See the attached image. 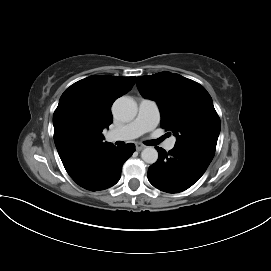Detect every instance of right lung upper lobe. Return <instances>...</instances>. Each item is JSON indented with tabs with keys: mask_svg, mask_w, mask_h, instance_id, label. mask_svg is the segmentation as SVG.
I'll list each match as a JSON object with an SVG mask.
<instances>
[{
	"mask_svg": "<svg viewBox=\"0 0 271 271\" xmlns=\"http://www.w3.org/2000/svg\"><path fill=\"white\" fill-rule=\"evenodd\" d=\"M135 77L93 75L65 90L53 115L54 141L70 176L97 159L111 143L102 131L112 121L111 106L133 87Z\"/></svg>",
	"mask_w": 271,
	"mask_h": 271,
	"instance_id": "cb5924a9",
	"label": "right lung upper lobe"
}]
</instances>
